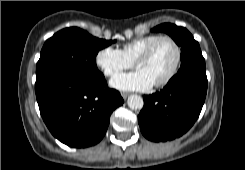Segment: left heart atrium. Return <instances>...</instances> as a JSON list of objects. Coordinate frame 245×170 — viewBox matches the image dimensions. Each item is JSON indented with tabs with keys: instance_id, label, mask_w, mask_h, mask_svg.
<instances>
[{
	"instance_id": "39dd6f15",
	"label": "left heart atrium",
	"mask_w": 245,
	"mask_h": 170,
	"mask_svg": "<svg viewBox=\"0 0 245 170\" xmlns=\"http://www.w3.org/2000/svg\"><path fill=\"white\" fill-rule=\"evenodd\" d=\"M111 85L121 90H147L153 82L142 70L137 69L131 73L115 76L111 80Z\"/></svg>"
}]
</instances>
